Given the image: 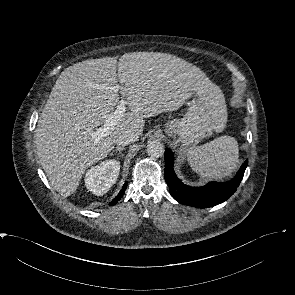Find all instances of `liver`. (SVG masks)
<instances>
[{"label": "liver", "mask_w": 295, "mask_h": 295, "mask_svg": "<svg viewBox=\"0 0 295 295\" xmlns=\"http://www.w3.org/2000/svg\"><path fill=\"white\" fill-rule=\"evenodd\" d=\"M209 83L195 65L160 52H131L118 62L117 57H103L69 66L52 88L36 129L37 154L51 185L63 197L72 195L85 171L107 157L119 135H141L144 118L179 109L194 90ZM119 93L130 112L109 135L96 140L91 134L114 112Z\"/></svg>", "instance_id": "6515ba94"}]
</instances>
